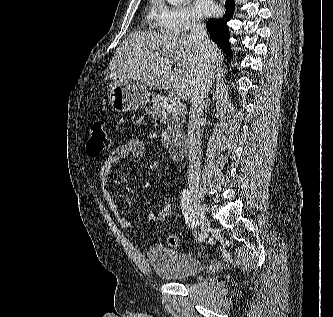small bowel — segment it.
<instances>
[{
    "label": "small bowel",
    "mask_w": 333,
    "mask_h": 317,
    "mask_svg": "<svg viewBox=\"0 0 333 317\" xmlns=\"http://www.w3.org/2000/svg\"><path fill=\"white\" fill-rule=\"evenodd\" d=\"M145 155V145L139 139H130L127 142L116 146L106 157L99 169L100 188L103 200L107 204L108 208L112 212L115 220L118 224L128 230L134 229L137 224L124 217L120 211L118 204L116 203L112 191L109 187V176L113 167L129 158H141ZM148 221H155V211H151L147 215Z\"/></svg>",
    "instance_id": "small-bowel-1"
}]
</instances>
